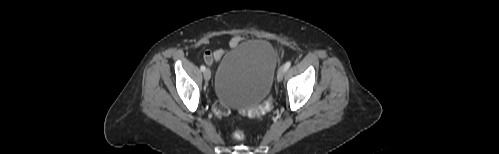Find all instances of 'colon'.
<instances>
[{
  "label": "colon",
  "instance_id": "obj_1",
  "mask_svg": "<svg viewBox=\"0 0 499 154\" xmlns=\"http://www.w3.org/2000/svg\"><path fill=\"white\" fill-rule=\"evenodd\" d=\"M206 54H209V52H207ZM271 108L272 100L268 98L260 105L249 108L247 110H242V113L249 117H259L267 113ZM213 113L218 119H224L230 114V109L221 101H216L213 105ZM231 137L236 141H242L245 136L241 130H235L232 132Z\"/></svg>",
  "mask_w": 499,
  "mask_h": 154
}]
</instances>
